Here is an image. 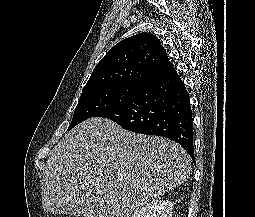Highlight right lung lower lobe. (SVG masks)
<instances>
[{"instance_id":"right-lung-lower-lobe-1","label":"right lung lower lobe","mask_w":255,"mask_h":217,"mask_svg":"<svg viewBox=\"0 0 255 217\" xmlns=\"http://www.w3.org/2000/svg\"><path fill=\"white\" fill-rule=\"evenodd\" d=\"M95 117L113 120L126 130L174 140L194 161L189 94L176 70L149 83L125 104Z\"/></svg>"}]
</instances>
